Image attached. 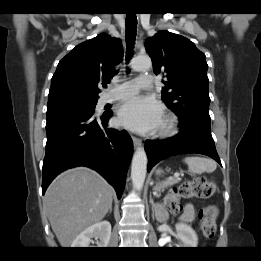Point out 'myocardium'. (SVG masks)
<instances>
[{"label": "myocardium", "instance_id": "myocardium-1", "mask_svg": "<svg viewBox=\"0 0 261 261\" xmlns=\"http://www.w3.org/2000/svg\"><path fill=\"white\" fill-rule=\"evenodd\" d=\"M177 119L173 115H167L163 120L161 132L163 135H171L176 131Z\"/></svg>", "mask_w": 261, "mask_h": 261}]
</instances>
